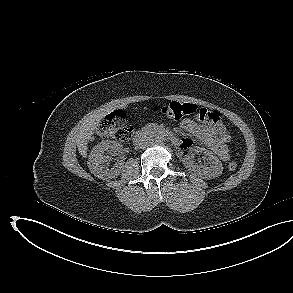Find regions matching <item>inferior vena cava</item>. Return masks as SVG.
Returning <instances> with one entry per match:
<instances>
[{"mask_svg": "<svg viewBox=\"0 0 293 293\" xmlns=\"http://www.w3.org/2000/svg\"><path fill=\"white\" fill-rule=\"evenodd\" d=\"M152 142V139L150 137H139L135 141V145L137 149L146 148L148 147Z\"/></svg>", "mask_w": 293, "mask_h": 293, "instance_id": "inferior-vena-cava-1", "label": "inferior vena cava"}]
</instances>
